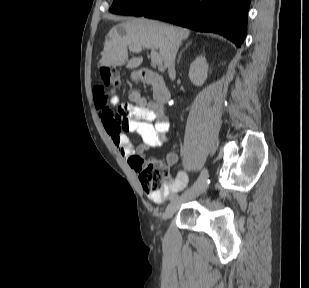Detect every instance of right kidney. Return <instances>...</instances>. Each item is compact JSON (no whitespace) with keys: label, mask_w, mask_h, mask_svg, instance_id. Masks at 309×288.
<instances>
[{"label":"right kidney","mask_w":309,"mask_h":288,"mask_svg":"<svg viewBox=\"0 0 309 288\" xmlns=\"http://www.w3.org/2000/svg\"><path fill=\"white\" fill-rule=\"evenodd\" d=\"M208 73V64L204 56H199L192 62L189 70V78L195 86L204 84Z\"/></svg>","instance_id":"right-kidney-1"}]
</instances>
